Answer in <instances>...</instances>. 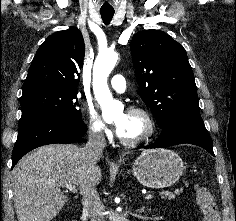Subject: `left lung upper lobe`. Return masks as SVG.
I'll return each mask as SVG.
<instances>
[{
  "label": "left lung upper lobe",
  "mask_w": 236,
  "mask_h": 221,
  "mask_svg": "<svg viewBox=\"0 0 236 221\" xmlns=\"http://www.w3.org/2000/svg\"><path fill=\"white\" fill-rule=\"evenodd\" d=\"M131 53L139 93L160 128L179 115H200L192 68L182 45L159 30L134 35Z\"/></svg>",
  "instance_id": "obj_1"
}]
</instances>
